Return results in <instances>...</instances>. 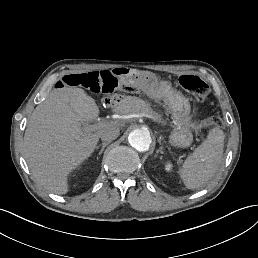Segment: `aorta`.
<instances>
[{
  "label": "aorta",
  "instance_id": "762f6f07",
  "mask_svg": "<svg viewBox=\"0 0 258 258\" xmlns=\"http://www.w3.org/2000/svg\"><path fill=\"white\" fill-rule=\"evenodd\" d=\"M128 141L134 149L143 152L149 149L152 139L148 130L135 129L129 134Z\"/></svg>",
  "mask_w": 258,
  "mask_h": 258
}]
</instances>
